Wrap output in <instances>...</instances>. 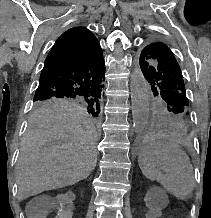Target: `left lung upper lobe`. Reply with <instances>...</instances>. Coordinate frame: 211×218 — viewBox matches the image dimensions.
I'll return each mask as SVG.
<instances>
[{"label":"left lung upper lobe","mask_w":211,"mask_h":218,"mask_svg":"<svg viewBox=\"0 0 211 218\" xmlns=\"http://www.w3.org/2000/svg\"><path fill=\"white\" fill-rule=\"evenodd\" d=\"M139 63L152 93L157 96L151 111L170 129L188 137L191 127L189 102L180 67L171 50L161 42L147 45Z\"/></svg>","instance_id":"1"}]
</instances>
